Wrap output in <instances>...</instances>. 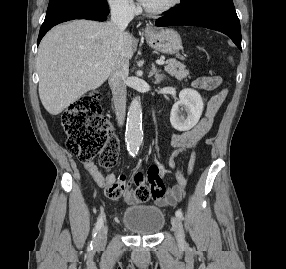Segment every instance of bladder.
I'll return each mask as SVG.
<instances>
[{
  "label": "bladder",
  "instance_id": "1",
  "mask_svg": "<svg viewBox=\"0 0 286 269\" xmlns=\"http://www.w3.org/2000/svg\"><path fill=\"white\" fill-rule=\"evenodd\" d=\"M122 225L138 235L151 236L165 226V214L154 205H132L122 212Z\"/></svg>",
  "mask_w": 286,
  "mask_h": 269
}]
</instances>
